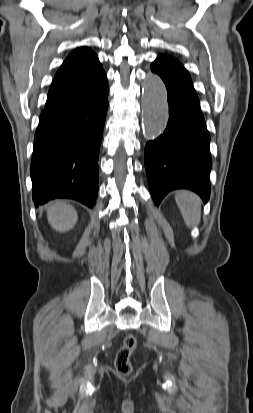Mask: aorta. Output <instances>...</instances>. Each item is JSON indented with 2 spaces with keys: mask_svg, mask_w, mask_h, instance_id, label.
Masks as SVG:
<instances>
[{
  "mask_svg": "<svg viewBox=\"0 0 253 413\" xmlns=\"http://www.w3.org/2000/svg\"><path fill=\"white\" fill-rule=\"evenodd\" d=\"M168 102L165 84L157 75H149L143 83L142 125L148 140L156 139L166 128Z\"/></svg>",
  "mask_w": 253,
  "mask_h": 413,
  "instance_id": "obj_1",
  "label": "aorta"
}]
</instances>
